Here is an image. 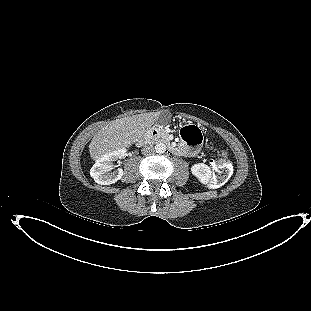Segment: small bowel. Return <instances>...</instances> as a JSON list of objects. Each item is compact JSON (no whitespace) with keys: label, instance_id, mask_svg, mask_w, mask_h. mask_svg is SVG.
<instances>
[{"label":"small bowel","instance_id":"small-bowel-1","mask_svg":"<svg viewBox=\"0 0 311 311\" xmlns=\"http://www.w3.org/2000/svg\"><path fill=\"white\" fill-rule=\"evenodd\" d=\"M193 127V129H194V131L195 132H199V129L198 128H196V127H194V126H192ZM185 141V145H183L182 147H181V151L183 152V153H189V154H192V153H194L192 150H190L188 147H187V145H190V143L189 142H187L186 140H184Z\"/></svg>","mask_w":311,"mask_h":311}]
</instances>
